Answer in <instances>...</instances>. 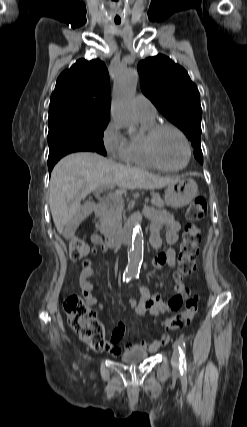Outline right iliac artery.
Returning <instances> with one entry per match:
<instances>
[{"mask_svg":"<svg viewBox=\"0 0 247 427\" xmlns=\"http://www.w3.org/2000/svg\"><path fill=\"white\" fill-rule=\"evenodd\" d=\"M131 279V275H124L123 276V281L124 282H128Z\"/></svg>","mask_w":247,"mask_h":427,"instance_id":"82829eb1","label":"right iliac artery"}]
</instances>
